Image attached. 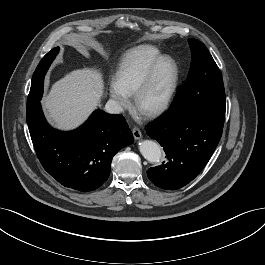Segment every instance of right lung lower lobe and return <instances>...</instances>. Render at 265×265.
Masks as SVG:
<instances>
[{
	"mask_svg": "<svg viewBox=\"0 0 265 265\" xmlns=\"http://www.w3.org/2000/svg\"><path fill=\"white\" fill-rule=\"evenodd\" d=\"M27 124L44 169L63 186L89 192L109 177L114 155L133 143L121 115L96 110L78 129L61 132L46 122L40 103L27 110Z\"/></svg>",
	"mask_w": 265,
	"mask_h": 265,
	"instance_id": "1",
	"label": "right lung lower lobe"
}]
</instances>
